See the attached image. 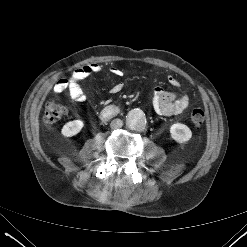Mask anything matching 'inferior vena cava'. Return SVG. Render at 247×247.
Returning a JSON list of instances; mask_svg holds the SVG:
<instances>
[{
  "label": "inferior vena cava",
  "mask_w": 247,
  "mask_h": 247,
  "mask_svg": "<svg viewBox=\"0 0 247 247\" xmlns=\"http://www.w3.org/2000/svg\"><path fill=\"white\" fill-rule=\"evenodd\" d=\"M122 125H123L122 120H121V119H118V118L113 119V120L111 121V123H110V127H111L112 129H119V128L122 127Z\"/></svg>",
  "instance_id": "inferior-vena-cava-1"
}]
</instances>
